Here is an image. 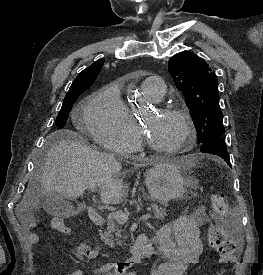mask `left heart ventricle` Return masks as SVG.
<instances>
[{
    "label": "left heart ventricle",
    "instance_id": "1",
    "mask_svg": "<svg viewBox=\"0 0 263 275\" xmlns=\"http://www.w3.org/2000/svg\"><path fill=\"white\" fill-rule=\"evenodd\" d=\"M143 124L152 142L162 148L178 146L186 135L184 122L173 115L154 111L145 117Z\"/></svg>",
    "mask_w": 263,
    "mask_h": 275
}]
</instances>
